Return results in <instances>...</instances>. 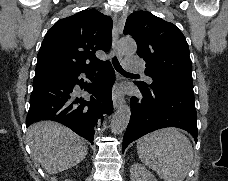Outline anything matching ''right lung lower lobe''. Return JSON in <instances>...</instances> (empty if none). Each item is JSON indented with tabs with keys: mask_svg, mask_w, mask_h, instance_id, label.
Listing matches in <instances>:
<instances>
[{
	"mask_svg": "<svg viewBox=\"0 0 228 181\" xmlns=\"http://www.w3.org/2000/svg\"><path fill=\"white\" fill-rule=\"evenodd\" d=\"M100 68L96 77L91 76ZM85 73L92 83L80 79ZM115 73L109 61L77 71L34 78L27 127L40 120L62 123L93 144L94 127L113 111L111 88ZM77 85L83 90L82 93Z\"/></svg>",
	"mask_w": 228,
	"mask_h": 181,
	"instance_id": "obj_1",
	"label": "right lung lower lobe"
}]
</instances>
